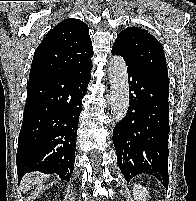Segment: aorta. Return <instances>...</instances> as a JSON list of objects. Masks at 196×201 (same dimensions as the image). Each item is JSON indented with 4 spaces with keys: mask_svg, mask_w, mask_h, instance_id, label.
<instances>
[{
    "mask_svg": "<svg viewBox=\"0 0 196 201\" xmlns=\"http://www.w3.org/2000/svg\"><path fill=\"white\" fill-rule=\"evenodd\" d=\"M111 89V114L116 122H120L129 107V85L127 66L121 56H113L109 63Z\"/></svg>",
    "mask_w": 196,
    "mask_h": 201,
    "instance_id": "obj_1",
    "label": "aorta"
}]
</instances>
